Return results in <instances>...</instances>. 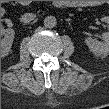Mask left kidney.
Returning <instances> with one entry per match:
<instances>
[{
  "label": "left kidney",
  "mask_w": 109,
  "mask_h": 109,
  "mask_svg": "<svg viewBox=\"0 0 109 109\" xmlns=\"http://www.w3.org/2000/svg\"><path fill=\"white\" fill-rule=\"evenodd\" d=\"M101 21L109 23V18L103 17L101 18ZM85 43L91 52L105 55L109 52V33H104L102 42L97 41L92 37H88L85 39Z\"/></svg>",
  "instance_id": "5707ae66"
}]
</instances>
